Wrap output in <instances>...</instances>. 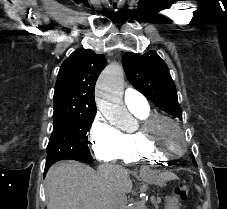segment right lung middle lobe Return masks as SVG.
<instances>
[{
  "mask_svg": "<svg viewBox=\"0 0 227 209\" xmlns=\"http://www.w3.org/2000/svg\"><path fill=\"white\" fill-rule=\"evenodd\" d=\"M76 104L75 101L69 102ZM95 113L58 112L53 114L54 128L47 146L45 171L64 159L90 163L93 158L88 148L87 132Z\"/></svg>",
  "mask_w": 227,
  "mask_h": 209,
  "instance_id": "1",
  "label": "right lung middle lobe"
}]
</instances>
